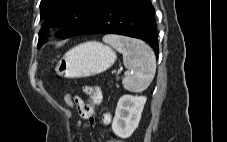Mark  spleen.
Returning <instances> with one entry per match:
<instances>
[{
    "mask_svg": "<svg viewBox=\"0 0 227 142\" xmlns=\"http://www.w3.org/2000/svg\"><path fill=\"white\" fill-rule=\"evenodd\" d=\"M103 41L123 54L124 66L128 69L122 84L126 90L144 91L152 82L156 72L153 50L145 42L120 35L109 34Z\"/></svg>",
    "mask_w": 227,
    "mask_h": 142,
    "instance_id": "obj_1",
    "label": "spleen"
}]
</instances>
